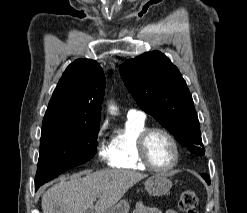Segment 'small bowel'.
<instances>
[{
    "instance_id": "c3829d8e",
    "label": "small bowel",
    "mask_w": 247,
    "mask_h": 213,
    "mask_svg": "<svg viewBox=\"0 0 247 213\" xmlns=\"http://www.w3.org/2000/svg\"><path fill=\"white\" fill-rule=\"evenodd\" d=\"M134 213H162V212L155 207L145 204L144 202H139L136 205ZM165 213H178V212L173 209H169Z\"/></svg>"
}]
</instances>
